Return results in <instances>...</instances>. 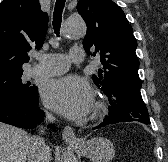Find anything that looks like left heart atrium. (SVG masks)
I'll list each match as a JSON object with an SVG mask.
<instances>
[{"label":"left heart atrium","mask_w":168,"mask_h":162,"mask_svg":"<svg viewBox=\"0 0 168 162\" xmlns=\"http://www.w3.org/2000/svg\"><path fill=\"white\" fill-rule=\"evenodd\" d=\"M42 96L50 109L70 119L86 116L93 104L89 83L74 75L50 80L44 86Z\"/></svg>","instance_id":"1"}]
</instances>
